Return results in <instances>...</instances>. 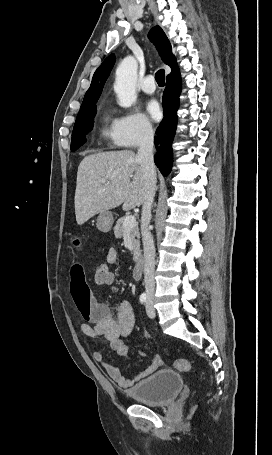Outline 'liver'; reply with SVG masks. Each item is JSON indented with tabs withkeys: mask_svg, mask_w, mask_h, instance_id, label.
I'll return each instance as SVG.
<instances>
[{
	"mask_svg": "<svg viewBox=\"0 0 272 455\" xmlns=\"http://www.w3.org/2000/svg\"><path fill=\"white\" fill-rule=\"evenodd\" d=\"M101 179L106 183L100 182ZM146 179L137 155L131 150L96 153L84 157L75 191L78 225L94 215L123 204L130 210L143 204Z\"/></svg>",
	"mask_w": 272,
	"mask_h": 455,
	"instance_id": "6515ba94",
	"label": "liver"
}]
</instances>
